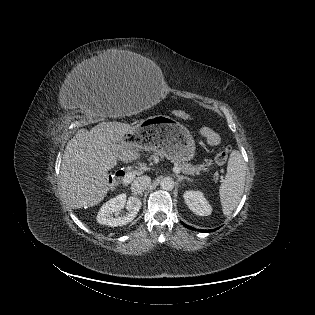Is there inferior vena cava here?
Returning <instances> with one entry per match:
<instances>
[{"label":"inferior vena cava","mask_w":315,"mask_h":315,"mask_svg":"<svg viewBox=\"0 0 315 315\" xmlns=\"http://www.w3.org/2000/svg\"><path fill=\"white\" fill-rule=\"evenodd\" d=\"M151 183V178L148 176H141L136 178L131 184L133 193H142Z\"/></svg>","instance_id":"602c4592"}]
</instances>
